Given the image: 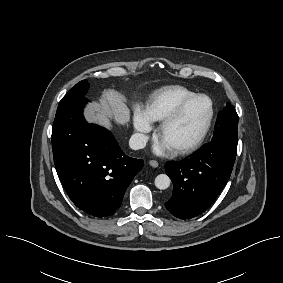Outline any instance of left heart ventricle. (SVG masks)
<instances>
[{"label": "left heart ventricle", "instance_id": "1", "mask_svg": "<svg viewBox=\"0 0 283 283\" xmlns=\"http://www.w3.org/2000/svg\"><path fill=\"white\" fill-rule=\"evenodd\" d=\"M210 109L208 99L199 98L195 100L160 138L172 149L192 142L202 132L208 120Z\"/></svg>", "mask_w": 283, "mask_h": 283}]
</instances>
